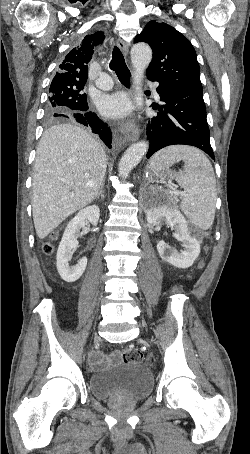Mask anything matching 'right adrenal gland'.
Returning a JSON list of instances; mask_svg holds the SVG:
<instances>
[{"label":"right adrenal gland","instance_id":"1","mask_svg":"<svg viewBox=\"0 0 250 454\" xmlns=\"http://www.w3.org/2000/svg\"><path fill=\"white\" fill-rule=\"evenodd\" d=\"M104 182H105V179H103V181H102V184H101L99 193L96 196V199H99L100 197H101L102 200L104 199Z\"/></svg>","mask_w":250,"mask_h":454}]
</instances>
